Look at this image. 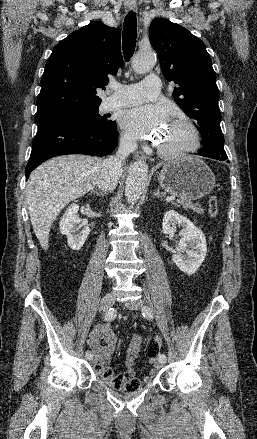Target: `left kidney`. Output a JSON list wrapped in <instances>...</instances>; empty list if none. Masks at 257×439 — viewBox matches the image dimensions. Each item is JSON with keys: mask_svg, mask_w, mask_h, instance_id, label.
<instances>
[{"mask_svg": "<svg viewBox=\"0 0 257 439\" xmlns=\"http://www.w3.org/2000/svg\"><path fill=\"white\" fill-rule=\"evenodd\" d=\"M176 225L183 229L181 231L182 238L176 245L172 261L184 273L194 274L207 254L206 238L189 219L174 210L167 211L162 222L163 233L166 235L174 234Z\"/></svg>", "mask_w": 257, "mask_h": 439, "instance_id": "obj_1", "label": "left kidney"}]
</instances>
